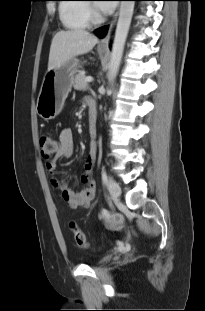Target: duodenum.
<instances>
[{
    "instance_id": "duodenum-1",
    "label": "duodenum",
    "mask_w": 205,
    "mask_h": 311,
    "mask_svg": "<svg viewBox=\"0 0 205 311\" xmlns=\"http://www.w3.org/2000/svg\"><path fill=\"white\" fill-rule=\"evenodd\" d=\"M91 110H92V111H95V110H96V105H95L94 102H92V104H91Z\"/></svg>"
}]
</instances>
